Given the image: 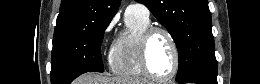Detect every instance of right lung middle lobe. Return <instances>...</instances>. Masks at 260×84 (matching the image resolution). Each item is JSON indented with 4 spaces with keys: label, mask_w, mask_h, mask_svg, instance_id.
Wrapping results in <instances>:
<instances>
[{
    "label": "right lung middle lobe",
    "mask_w": 260,
    "mask_h": 84,
    "mask_svg": "<svg viewBox=\"0 0 260 84\" xmlns=\"http://www.w3.org/2000/svg\"><path fill=\"white\" fill-rule=\"evenodd\" d=\"M111 20L89 23L53 39L51 83L69 84L85 72H104L100 46Z\"/></svg>",
    "instance_id": "right-lung-middle-lobe-1"
}]
</instances>
